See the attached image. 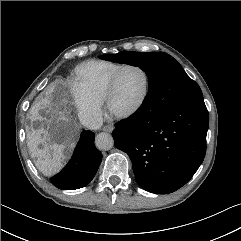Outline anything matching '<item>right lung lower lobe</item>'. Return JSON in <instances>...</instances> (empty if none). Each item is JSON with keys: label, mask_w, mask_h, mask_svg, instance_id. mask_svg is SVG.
<instances>
[{"label": "right lung lower lobe", "mask_w": 241, "mask_h": 241, "mask_svg": "<svg viewBox=\"0 0 241 241\" xmlns=\"http://www.w3.org/2000/svg\"><path fill=\"white\" fill-rule=\"evenodd\" d=\"M94 133L83 131L72 158L64 169L50 179L59 189L74 190L87 186L94 178L102 153L94 145Z\"/></svg>", "instance_id": "98d812e1"}]
</instances>
